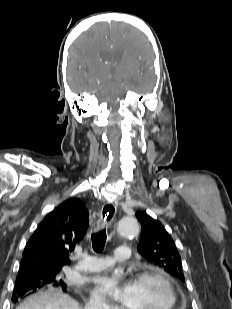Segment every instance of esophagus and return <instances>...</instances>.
Returning a JSON list of instances; mask_svg holds the SVG:
<instances>
[{
  "instance_id": "obj_1",
  "label": "esophagus",
  "mask_w": 232,
  "mask_h": 309,
  "mask_svg": "<svg viewBox=\"0 0 232 309\" xmlns=\"http://www.w3.org/2000/svg\"><path fill=\"white\" fill-rule=\"evenodd\" d=\"M116 214V206L113 203H106L101 210V220L99 226L111 224Z\"/></svg>"
}]
</instances>
